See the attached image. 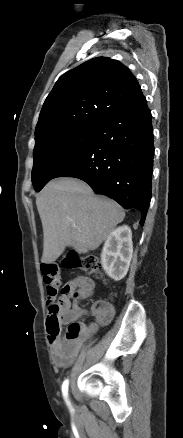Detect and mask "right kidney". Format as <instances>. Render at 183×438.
I'll return each instance as SVG.
<instances>
[{
    "label": "right kidney",
    "mask_w": 183,
    "mask_h": 438,
    "mask_svg": "<svg viewBox=\"0 0 183 438\" xmlns=\"http://www.w3.org/2000/svg\"><path fill=\"white\" fill-rule=\"evenodd\" d=\"M132 254V231L127 225L120 226L106 238L101 253L102 267L112 279L121 280L127 274Z\"/></svg>",
    "instance_id": "ca27d5eb"
}]
</instances>
